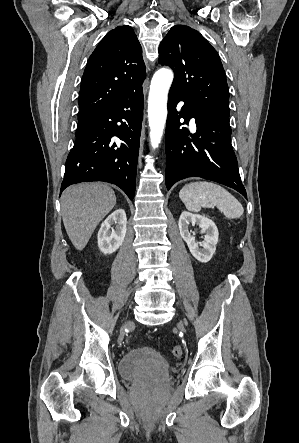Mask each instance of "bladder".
Returning a JSON list of instances; mask_svg holds the SVG:
<instances>
[{"instance_id": "bladder-1", "label": "bladder", "mask_w": 299, "mask_h": 443, "mask_svg": "<svg viewBox=\"0 0 299 443\" xmlns=\"http://www.w3.org/2000/svg\"><path fill=\"white\" fill-rule=\"evenodd\" d=\"M118 369L123 378L151 383L165 382L171 373L165 358L150 347H136L129 350L121 357Z\"/></svg>"}]
</instances>
